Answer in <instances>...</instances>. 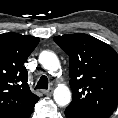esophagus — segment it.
I'll use <instances>...</instances> for the list:
<instances>
[{
    "label": "esophagus",
    "mask_w": 118,
    "mask_h": 118,
    "mask_svg": "<svg viewBox=\"0 0 118 118\" xmlns=\"http://www.w3.org/2000/svg\"><path fill=\"white\" fill-rule=\"evenodd\" d=\"M43 94L50 96L53 93V88H49L47 90H42Z\"/></svg>",
    "instance_id": "obj_1"
}]
</instances>
